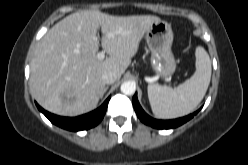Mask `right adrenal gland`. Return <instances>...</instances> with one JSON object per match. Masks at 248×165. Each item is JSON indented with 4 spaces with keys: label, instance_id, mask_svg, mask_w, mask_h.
Here are the masks:
<instances>
[{
    "label": "right adrenal gland",
    "instance_id": "right-adrenal-gland-1",
    "mask_svg": "<svg viewBox=\"0 0 248 165\" xmlns=\"http://www.w3.org/2000/svg\"><path fill=\"white\" fill-rule=\"evenodd\" d=\"M108 90V86L104 87V89L101 92L100 98H102L105 94V92Z\"/></svg>",
    "mask_w": 248,
    "mask_h": 165
}]
</instances>
